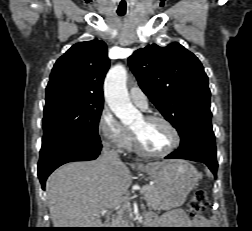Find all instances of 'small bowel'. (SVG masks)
Listing matches in <instances>:
<instances>
[{
	"mask_svg": "<svg viewBox=\"0 0 252 231\" xmlns=\"http://www.w3.org/2000/svg\"><path fill=\"white\" fill-rule=\"evenodd\" d=\"M166 220L174 222L178 227L183 229L182 231H195L193 229H201L207 223L205 217L199 216L196 220H190L181 210L168 212L165 215Z\"/></svg>",
	"mask_w": 252,
	"mask_h": 231,
	"instance_id": "c3829d8e",
	"label": "small bowel"
}]
</instances>
